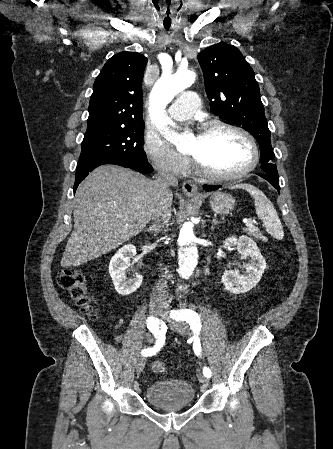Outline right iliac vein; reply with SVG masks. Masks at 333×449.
I'll return each mask as SVG.
<instances>
[{
	"mask_svg": "<svg viewBox=\"0 0 333 449\" xmlns=\"http://www.w3.org/2000/svg\"><path fill=\"white\" fill-rule=\"evenodd\" d=\"M151 312L154 315H160L162 310H163V306L161 305V303L159 302H152L151 303ZM146 364V358L144 356H139L136 360V372L139 374L142 372V370L144 369Z\"/></svg>",
	"mask_w": 333,
	"mask_h": 449,
	"instance_id": "1",
	"label": "right iliac vein"
}]
</instances>
